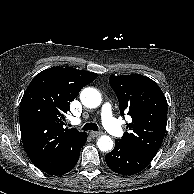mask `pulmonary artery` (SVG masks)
<instances>
[{
    "label": "pulmonary artery",
    "mask_w": 194,
    "mask_h": 194,
    "mask_svg": "<svg viewBox=\"0 0 194 194\" xmlns=\"http://www.w3.org/2000/svg\"><path fill=\"white\" fill-rule=\"evenodd\" d=\"M101 120L105 129L116 137H121L124 133L122 126L113 117L112 106L104 103L101 108Z\"/></svg>",
    "instance_id": "1"
}]
</instances>
